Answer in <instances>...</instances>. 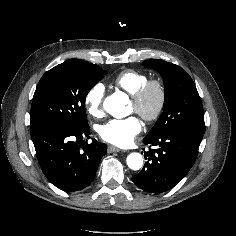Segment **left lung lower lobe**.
<instances>
[{
  "label": "left lung lower lobe",
  "instance_id": "0a47b994",
  "mask_svg": "<svg viewBox=\"0 0 236 236\" xmlns=\"http://www.w3.org/2000/svg\"><path fill=\"white\" fill-rule=\"evenodd\" d=\"M203 135L183 129L147 135L143 143L157 149L144 152L148 161L140 173L132 177L133 182L140 189L155 194L176 186L195 163Z\"/></svg>",
  "mask_w": 236,
  "mask_h": 236
}]
</instances>
